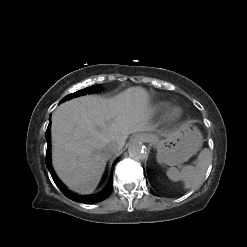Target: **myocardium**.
I'll list each match as a JSON object with an SVG mask.
<instances>
[{
	"label": "myocardium",
	"mask_w": 247,
	"mask_h": 247,
	"mask_svg": "<svg viewBox=\"0 0 247 247\" xmlns=\"http://www.w3.org/2000/svg\"><path fill=\"white\" fill-rule=\"evenodd\" d=\"M180 114H181V112H180V110L178 108H174L170 112V116L172 118H178L180 116Z\"/></svg>",
	"instance_id": "f54148a6"
}]
</instances>
